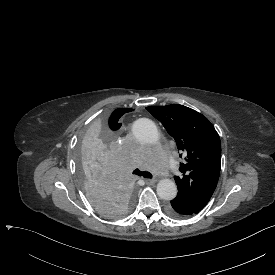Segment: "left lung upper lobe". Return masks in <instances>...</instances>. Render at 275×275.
Returning a JSON list of instances; mask_svg holds the SVG:
<instances>
[{"mask_svg":"<svg viewBox=\"0 0 275 275\" xmlns=\"http://www.w3.org/2000/svg\"><path fill=\"white\" fill-rule=\"evenodd\" d=\"M146 109L163 124L185 156V162L179 167L181 176L174 177L178 187L175 199L203 208L219 178L221 142L218 133L206 117L186 106L172 104Z\"/></svg>","mask_w":275,"mask_h":275,"instance_id":"left-lung-upper-lobe-1","label":"left lung upper lobe"}]
</instances>
